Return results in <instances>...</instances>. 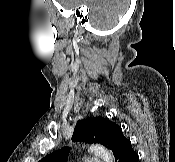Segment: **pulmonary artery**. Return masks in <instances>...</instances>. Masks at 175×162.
Segmentation results:
<instances>
[{
  "label": "pulmonary artery",
  "instance_id": "e3ab8cb5",
  "mask_svg": "<svg viewBox=\"0 0 175 162\" xmlns=\"http://www.w3.org/2000/svg\"><path fill=\"white\" fill-rule=\"evenodd\" d=\"M86 162H102V161L97 159V158H90V159L86 160Z\"/></svg>",
  "mask_w": 175,
  "mask_h": 162
}]
</instances>
